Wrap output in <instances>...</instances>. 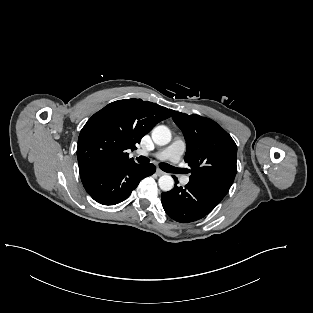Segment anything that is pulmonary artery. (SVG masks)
Returning a JSON list of instances; mask_svg holds the SVG:
<instances>
[{
    "mask_svg": "<svg viewBox=\"0 0 313 313\" xmlns=\"http://www.w3.org/2000/svg\"><path fill=\"white\" fill-rule=\"evenodd\" d=\"M185 151V143L182 139L176 138L173 142L166 148L153 153L152 155L159 160H169L172 163H178L181 156ZM140 154H147L144 151H140ZM189 177L183 176L181 177V183L183 185H187L189 183Z\"/></svg>",
    "mask_w": 313,
    "mask_h": 313,
    "instance_id": "e3ab8cb5",
    "label": "pulmonary artery"
}]
</instances>
